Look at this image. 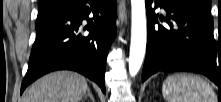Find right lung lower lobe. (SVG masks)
<instances>
[{"label":"right lung lower lobe","instance_id":"right-lung-lower-lobe-1","mask_svg":"<svg viewBox=\"0 0 221 102\" xmlns=\"http://www.w3.org/2000/svg\"><path fill=\"white\" fill-rule=\"evenodd\" d=\"M116 2L73 0L36 26V39L20 93L39 77L55 70L77 71L105 92L106 58L116 37ZM83 20H87L88 26H83Z\"/></svg>","mask_w":221,"mask_h":102}]
</instances>
